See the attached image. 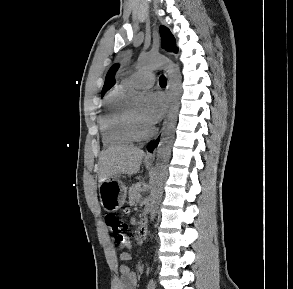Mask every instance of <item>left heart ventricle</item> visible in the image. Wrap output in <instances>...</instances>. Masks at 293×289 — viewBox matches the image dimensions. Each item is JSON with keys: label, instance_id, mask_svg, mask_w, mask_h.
Listing matches in <instances>:
<instances>
[{"label": "left heart ventricle", "instance_id": "1", "mask_svg": "<svg viewBox=\"0 0 293 289\" xmlns=\"http://www.w3.org/2000/svg\"><path fill=\"white\" fill-rule=\"evenodd\" d=\"M131 113L133 117L135 118V120L137 121L142 131H148L150 129V127L144 123L142 107L132 108Z\"/></svg>", "mask_w": 293, "mask_h": 289}]
</instances>
